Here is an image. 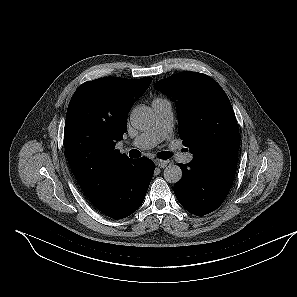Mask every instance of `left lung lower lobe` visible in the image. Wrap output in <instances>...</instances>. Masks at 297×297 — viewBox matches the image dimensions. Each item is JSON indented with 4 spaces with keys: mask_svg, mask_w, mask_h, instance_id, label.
Returning a JSON list of instances; mask_svg holds the SVG:
<instances>
[{
    "mask_svg": "<svg viewBox=\"0 0 297 297\" xmlns=\"http://www.w3.org/2000/svg\"><path fill=\"white\" fill-rule=\"evenodd\" d=\"M238 151L216 162L179 164L183 176L174 186L179 203L190 213L203 216L216 210L228 195L237 168Z\"/></svg>",
    "mask_w": 297,
    "mask_h": 297,
    "instance_id": "left-lung-lower-lobe-1",
    "label": "left lung lower lobe"
}]
</instances>
